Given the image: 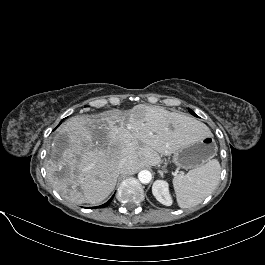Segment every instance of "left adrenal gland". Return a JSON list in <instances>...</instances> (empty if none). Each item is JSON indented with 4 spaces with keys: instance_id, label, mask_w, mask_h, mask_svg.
<instances>
[{
    "instance_id": "left-adrenal-gland-1",
    "label": "left adrenal gland",
    "mask_w": 265,
    "mask_h": 265,
    "mask_svg": "<svg viewBox=\"0 0 265 265\" xmlns=\"http://www.w3.org/2000/svg\"><path fill=\"white\" fill-rule=\"evenodd\" d=\"M158 172H159V174L161 175V177H163V173H164L165 171H161V170H159Z\"/></svg>"
}]
</instances>
